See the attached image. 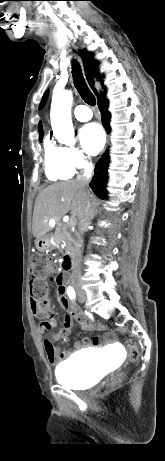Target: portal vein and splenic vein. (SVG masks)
<instances>
[{
	"mask_svg": "<svg viewBox=\"0 0 165 461\" xmlns=\"http://www.w3.org/2000/svg\"><path fill=\"white\" fill-rule=\"evenodd\" d=\"M75 223H76V222H75V220H74L73 218H71V219L69 220V222H68V224L71 225V226L74 225Z\"/></svg>",
	"mask_w": 165,
	"mask_h": 461,
	"instance_id": "obj_1",
	"label": "portal vein and splenic vein"
}]
</instances>
